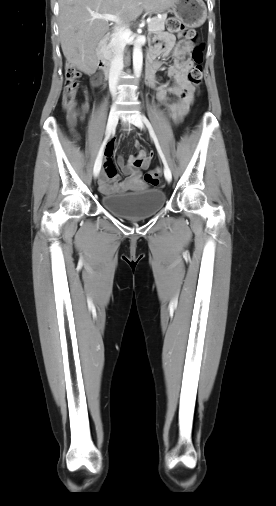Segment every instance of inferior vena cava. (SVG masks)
Instances as JSON below:
<instances>
[{
  "label": "inferior vena cava",
  "mask_w": 276,
  "mask_h": 506,
  "mask_svg": "<svg viewBox=\"0 0 276 506\" xmlns=\"http://www.w3.org/2000/svg\"><path fill=\"white\" fill-rule=\"evenodd\" d=\"M125 33L126 31L124 27L116 26L112 38V42L115 47V53L111 61L109 71V88L113 98H116L117 82L123 70V50L125 46L124 41Z\"/></svg>",
  "instance_id": "602c4592"
}]
</instances>
